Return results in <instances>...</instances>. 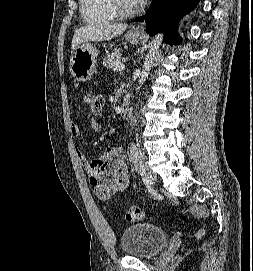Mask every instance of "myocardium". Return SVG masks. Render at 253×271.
I'll return each instance as SVG.
<instances>
[{
  "label": "myocardium",
  "instance_id": "myocardium-1",
  "mask_svg": "<svg viewBox=\"0 0 253 271\" xmlns=\"http://www.w3.org/2000/svg\"><path fill=\"white\" fill-rule=\"evenodd\" d=\"M115 10L119 16L127 17L138 13L141 9L140 5L131 7L126 3V0H112Z\"/></svg>",
  "mask_w": 253,
  "mask_h": 271
}]
</instances>
